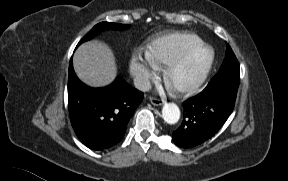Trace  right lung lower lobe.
Listing matches in <instances>:
<instances>
[{
  "instance_id": "1",
  "label": "right lung lower lobe",
  "mask_w": 288,
  "mask_h": 181,
  "mask_svg": "<svg viewBox=\"0 0 288 181\" xmlns=\"http://www.w3.org/2000/svg\"><path fill=\"white\" fill-rule=\"evenodd\" d=\"M143 100V93L121 77L104 88H91L76 76L72 61L68 76V108L72 127L88 148L100 151L117 145Z\"/></svg>"
}]
</instances>
